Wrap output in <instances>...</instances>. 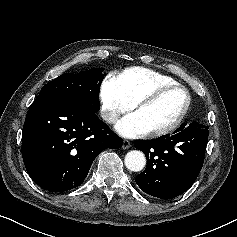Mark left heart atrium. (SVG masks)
I'll return each instance as SVG.
<instances>
[{
    "instance_id": "obj_1",
    "label": "left heart atrium",
    "mask_w": 237,
    "mask_h": 237,
    "mask_svg": "<svg viewBox=\"0 0 237 237\" xmlns=\"http://www.w3.org/2000/svg\"><path fill=\"white\" fill-rule=\"evenodd\" d=\"M116 131L123 137L136 138L148 132L140 116L133 112L122 118L116 125Z\"/></svg>"
}]
</instances>
